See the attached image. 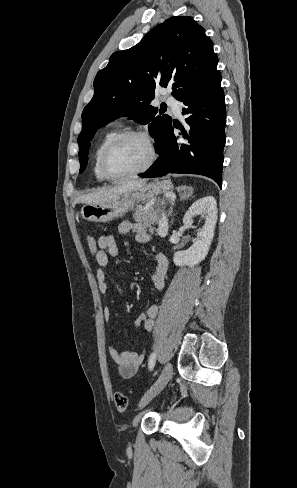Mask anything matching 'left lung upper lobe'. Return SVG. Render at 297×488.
I'll return each mask as SVG.
<instances>
[{
  "mask_svg": "<svg viewBox=\"0 0 297 488\" xmlns=\"http://www.w3.org/2000/svg\"><path fill=\"white\" fill-rule=\"evenodd\" d=\"M218 57L204 29L190 16H174L152 29L136 46L115 52L94 80L95 93L82 113L78 137L80 172L86 168L96 131L121 116L149 123L157 151L172 123L149 105L156 86H172L179 101L199 90L218 71ZM164 112L160 111V114Z\"/></svg>",
  "mask_w": 297,
  "mask_h": 488,
  "instance_id": "5c2ea615",
  "label": "left lung upper lobe"
}]
</instances>
